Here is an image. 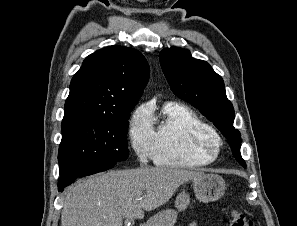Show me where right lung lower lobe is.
<instances>
[{
    "instance_id": "obj_1",
    "label": "right lung lower lobe",
    "mask_w": 297,
    "mask_h": 226,
    "mask_svg": "<svg viewBox=\"0 0 297 226\" xmlns=\"http://www.w3.org/2000/svg\"><path fill=\"white\" fill-rule=\"evenodd\" d=\"M115 164H94L89 165L81 168H75L68 170L67 172L60 174L59 180H58V191L62 192L63 189L73 183L77 178L88 176L91 174H95L101 171L108 170L112 168Z\"/></svg>"
}]
</instances>
